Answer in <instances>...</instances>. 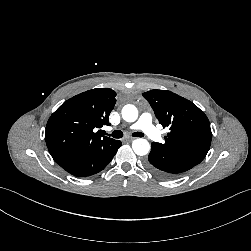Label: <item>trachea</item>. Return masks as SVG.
<instances>
[{"label": "trachea", "mask_w": 251, "mask_h": 251, "mask_svg": "<svg viewBox=\"0 0 251 251\" xmlns=\"http://www.w3.org/2000/svg\"><path fill=\"white\" fill-rule=\"evenodd\" d=\"M109 136H112L113 138H122L123 132L120 130H115L112 132V134H108ZM133 137H144V134L141 132H134L132 134Z\"/></svg>", "instance_id": "3493384b"}]
</instances>
